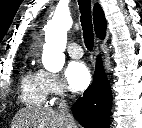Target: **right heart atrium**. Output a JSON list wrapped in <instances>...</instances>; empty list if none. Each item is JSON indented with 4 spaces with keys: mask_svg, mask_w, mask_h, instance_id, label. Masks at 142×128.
Here are the masks:
<instances>
[{
    "mask_svg": "<svg viewBox=\"0 0 142 128\" xmlns=\"http://www.w3.org/2000/svg\"><path fill=\"white\" fill-rule=\"evenodd\" d=\"M40 75L47 97L59 100L65 96V85L58 75L43 70L40 71Z\"/></svg>",
    "mask_w": 142,
    "mask_h": 128,
    "instance_id": "d8ad5b80",
    "label": "right heart atrium"
}]
</instances>
